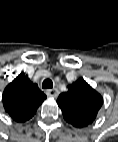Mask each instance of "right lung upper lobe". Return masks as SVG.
<instances>
[{"label":"right lung upper lobe","instance_id":"1","mask_svg":"<svg viewBox=\"0 0 118 142\" xmlns=\"http://www.w3.org/2000/svg\"><path fill=\"white\" fill-rule=\"evenodd\" d=\"M46 98L37 84L21 73L6 86L2 101L6 113L14 121L25 122L34 116L39 105Z\"/></svg>","mask_w":118,"mask_h":142}]
</instances>
